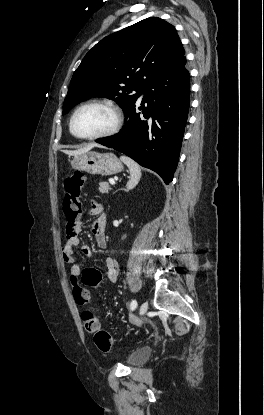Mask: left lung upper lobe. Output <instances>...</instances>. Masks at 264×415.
I'll list each match as a JSON object with an SVG mask.
<instances>
[{"instance_id":"left-lung-upper-lobe-1","label":"left lung upper lobe","mask_w":264,"mask_h":415,"mask_svg":"<svg viewBox=\"0 0 264 415\" xmlns=\"http://www.w3.org/2000/svg\"><path fill=\"white\" fill-rule=\"evenodd\" d=\"M184 53L174 26L158 17L105 37L74 72L63 115L91 97L112 99L125 111L148 83L171 69Z\"/></svg>"}]
</instances>
